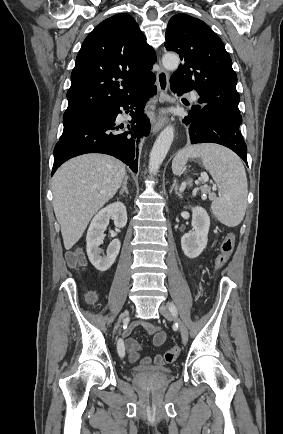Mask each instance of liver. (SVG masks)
<instances>
[{
    "label": "liver",
    "mask_w": 283,
    "mask_h": 434,
    "mask_svg": "<svg viewBox=\"0 0 283 434\" xmlns=\"http://www.w3.org/2000/svg\"><path fill=\"white\" fill-rule=\"evenodd\" d=\"M125 174L122 162L97 153L75 157L56 171L53 208L66 250L78 242L94 214L116 194Z\"/></svg>",
    "instance_id": "6515ba94"
}]
</instances>
